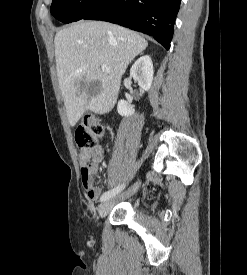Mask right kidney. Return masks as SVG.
<instances>
[{
    "mask_svg": "<svg viewBox=\"0 0 247 275\" xmlns=\"http://www.w3.org/2000/svg\"><path fill=\"white\" fill-rule=\"evenodd\" d=\"M153 64L150 56L140 57L131 67L130 76L138 83L140 88L148 91L153 81ZM117 111L121 116H131L134 114L133 106L125 101L120 100L117 105Z\"/></svg>",
    "mask_w": 247,
    "mask_h": 275,
    "instance_id": "1",
    "label": "right kidney"
}]
</instances>
